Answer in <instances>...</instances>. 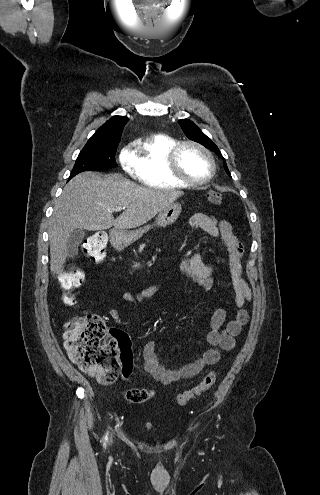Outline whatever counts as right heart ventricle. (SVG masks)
Masks as SVG:
<instances>
[{
    "label": "right heart ventricle",
    "instance_id": "e07e8e85",
    "mask_svg": "<svg viewBox=\"0 0 320 495\" xmlns=\"http://www.w3.org/2000/svg\"><path fill=\"white\" fill-rule=\"evenodd\" d=\"M177 141L164 134L146 137L136 151L135 177L144 186L158 189L183 188L187 185L170 173L167 164L169 151Z\"/></svg>",
    "mask_w": 320,
    "mask_h": 495
}]
</instances>
